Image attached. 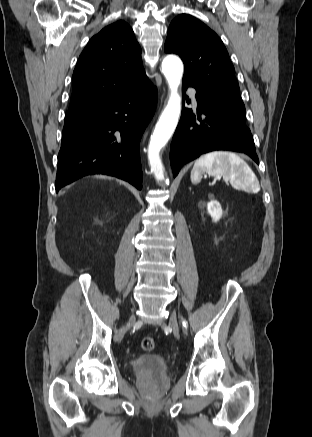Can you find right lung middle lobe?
Instances as JSON below:
<instances>
[{"instance_id":"dd1d6c3e","label":"right lung middle lobe","mask_w":312,"mask_h":437,"mask_svg":"<svg viewBox=\"0 0 312 437\" xmlns=\"http://www.w3.org/2000/svg\"><path fill=\"white\" fill-rule=\"evenodd\" d=\"M82 114H83V112L66 113L65 123L77 119V118L80 117Z\"/></svg>"}]
</instances>
